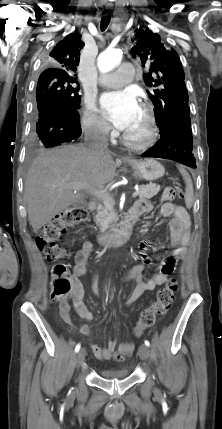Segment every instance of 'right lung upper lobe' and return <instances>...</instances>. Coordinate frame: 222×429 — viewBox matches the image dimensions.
Masks as SVG:
<instances>
[{"instance_id":"cb5924a9","label":"right lung upper lobe","mask_w":222,"mask_h":429,"mask_svg":"<svg viewBox=\"0 0 222 429\" xmlns=\"http://www.w3.org/2000/svg\"><path fill=\"white\" fill-rule=\"evenodd\" d=\"M84 47L81 35L71 33L58 42L50 53V68L44 70L40 77H74Z\"/></svg>"}]
</instances>
